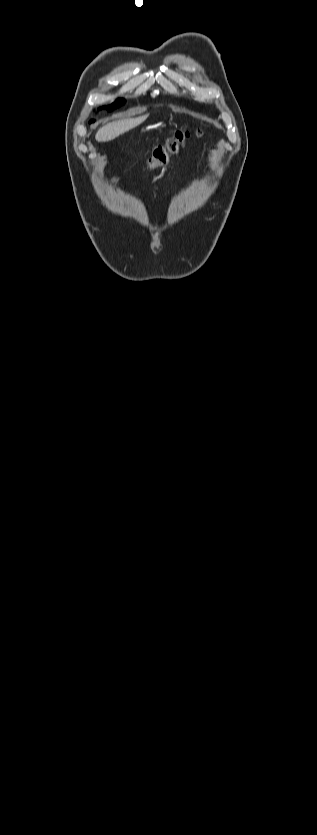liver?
Returning a JSON list of instances; mask_svg holds the SVG:
<instances>
[{"label":"liver","instance_id":"liver-1","mask_svg":"<svg viewBox=\"0 0 317 835\" xmlns=\"http://www.w3.org/2000/svg\"><path fill=\"white\" fill-rule=\"evenodd\" d=\"M148 115H142L134 118H125L107 123L101 127L96 133V140L98 142H108L114 140L121 134L142 124Z\"/></svg>","mask_w":317,"mask_h":835}]
</instances>
